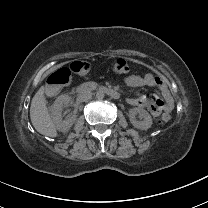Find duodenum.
<instances>
[{
	"mask_svg": "<svg viewBox=\"0 0 208 208\" xmlns=\"http://www.w3.org/2000/svg\"><path fill=\"white\" fill-rule=\"evenodd\" d=\"M95 89H99V90L103 91L104 93L111 96L112 98L119 97V93L116 90H114L113 88L101 86V85H98L93 82L83 83V84L79 85L77 88L78 92H85L88 90H95Z\"/></svg>",
	"mask_w": 208,
	"mask_h": 208,
	"instance_id": "obj_1",
	"label": "duodenum"
}]
</instances>
